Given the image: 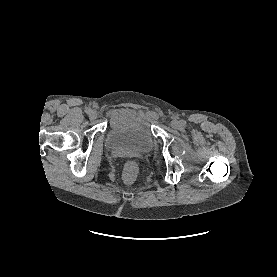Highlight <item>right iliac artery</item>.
<instances>
[{
	"instance_id": "82829eb1",
	"label": "right iliac artery",
	"mask_w": 277,
	"mask_h": 277,
	"mask_svg": "<svg viewBox=\"0 0 277 277\" xmlns=\"http://www.w3.org/2000/svg\"><path fill=\"white\" fill-rule=\"evenodd\" d=\"M85 112H86L87 114H89V113L91 112V109H90V108H86V109H85Z\"/></svg>"
}]
</instances>
